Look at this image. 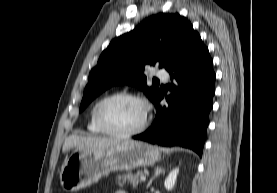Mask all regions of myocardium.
<instances>
[{
	"instance_id": "f54148a6",
	"label": "myocardium",
	"mask_w": 277,
	"mask_h": 193,
	"mask_svg": "<svg viewBox=\"0 0 277 193\" xmlns=\"http://www.w3.org/2000/svg\"><path fill=\"white\" fill-rule=\"evenodd\" d=\"M122 99H129V100H134V101L140 102L144 106V116H143L141 123L136 128L121 132V131L112 130L111 128H109L106 125V123L103 119L102 112H103L104 107L108 103L117 101V100H122ZM94 118H95V122H96L97 126L100 128V130L103 133L113 136V137L127 138V137L137 135L146 129V127L149 123V119H150V106L144 98H142L141 96H139L137 94L126 93V92L116 93V94L109 95V96L101 99L98 102V104L95 108V111H94Z\"/></svg>"
}]
</instances>
